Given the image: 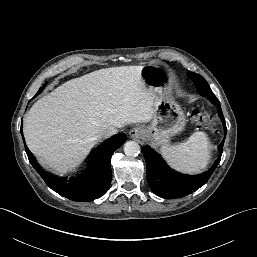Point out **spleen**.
Instances as JSON below:
<instances>
[{
	"label": "spleen",
	"instance_id": "spleen-1",
	"mask_svg": "<svg viewBox=\"0 0 257 257\" xmlns=\"http://www.w3.org/2000/svg\"><path fill=\"white\" fill-rule=\"evenodd\" d=\"M160 151L173 169L183 173L197 174L203 171L209 162L211 145L207 134L198 131L184 142L163 145Z\"/></svg>",
	"mask_w": 257,
	"mask_h": 257
}]
</instances>
